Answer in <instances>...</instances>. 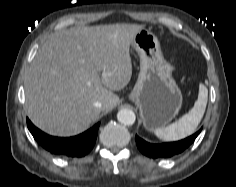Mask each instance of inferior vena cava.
Wrapping results in <instances>:
<instances>
[{
	"label": "inferior vena cava",
	"mask_w": 236,
	"mask_h": 187,
	"mask_svg": "<svg viewBox=\"0 0 236 187\" xmlns=\"http://www.w3.org/2000/svg\"><path fill=\"white\" fill-rule=\"evenodd\" d=\"M94 106L96 107V108H101L102 107V103L100 102V101H96L95 103H94Z\"/></svg>",
	"instance_id": "602c4592"
}]
</instances>
